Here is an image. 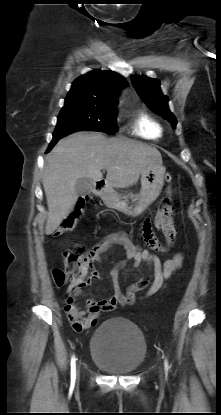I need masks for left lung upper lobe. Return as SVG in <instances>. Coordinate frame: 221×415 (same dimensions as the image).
I'll list each match as a JSON object with an SVG mask.
<instances>
[{
  "label": "left lung upper lobe",
  "mask_w": 221,
  "mask_h": 415,
  "mask_svg": "<svg viewBox=\"0 0 221 415\" xmlns=\"http://www.w3.org/2000/svg\"><path fill=\"white\" fill-rule=\"evenodd\" d=\"M131 81L137 93L146 105L167 119L175 128L177 121L168 108V98L160 90V82L147 76H132Z\"/></svg>",
  "instance_id": "1"
}]
</instances>
